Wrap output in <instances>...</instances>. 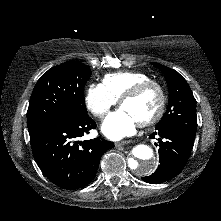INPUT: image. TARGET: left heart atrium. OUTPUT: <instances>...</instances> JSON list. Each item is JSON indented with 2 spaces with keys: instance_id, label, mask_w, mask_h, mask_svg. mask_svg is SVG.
I'll return each instance as SVG.
<instances>
[{
  "instance_id": "obj_1",
  "label": "left heart atrium",
  "mask_w": 221,
  "mask_h": 221,
  "mask_svg": "<svg viewBox=\"0 0 221 221\" xmlns=\"http://www.w3.org/2000/svg\"><path fill=\"white\" fill-rule=\"evenodd\" d=\"M139 121L124 108L111 113L102 124V132L112 140H120L135 133Z\"/></svg>"
}]
</instances>
